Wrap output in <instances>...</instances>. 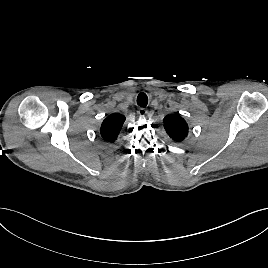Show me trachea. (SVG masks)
Returning a JSON list of instances; mask_svg holds the SVG:
<instances>
[{
    "label": "trachea",
    "mask_w": 268,
    "mask_h": 268,
    "mask_svg": "<svg viewBox=\"0 0 268 268\" xmlns=\"http://www.w3.org/2000/svg\"><path fill=\"white\" fill-rule=\"evenodd\" d=\"M137 104L140 107H142V108H144V107L147 106V104H148V97H147V95L144 92H141L138 95V97H137Z\"/></svg>",
    "instance_id": "obj_1"
}]
</instances>
